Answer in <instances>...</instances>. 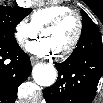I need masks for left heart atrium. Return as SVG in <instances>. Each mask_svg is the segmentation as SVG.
Returning a JSON list of instances; mask_svg holds the SVG:
<instances>
[{"label": "left heart atrium", "instance_id": "1", "mask_svg": "<svg viewBox=\"0 0 103 103\" xmlns=\"http://www.w3.org/2000/svg\"><path fill=\"white\" fill-rule=\"evenodd\" d=\"M26 50L36 56H48L55 53L54 46L49 38L42 37L36 41L29 43Z\"/></svg>", "mask_w": 103, "mask_h": 103}]
</instances>
